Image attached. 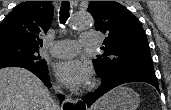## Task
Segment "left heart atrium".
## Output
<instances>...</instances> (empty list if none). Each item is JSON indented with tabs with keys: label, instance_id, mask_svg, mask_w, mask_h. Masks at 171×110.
I'll return each mask as SVG.
<instances>
[{
	"label": "left heart atrium",
	"instance_id": "39dd6f15",
	"mask_svg": "<svg viewBox=\"0 0 171 110\" xmlns=\"http://www.w3.org/2000/svg\"><path fill=\"white\" fill-rule=\"evenodd\" d=\"M57 78L68 88L80 89L90 79L91 71L87 63L79 59H67L54 65Z\"/></svg>",
	"mask_w": 171,
	"mask_h": 110
}]
</instances>
